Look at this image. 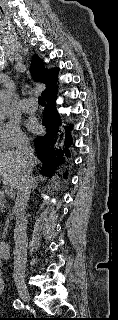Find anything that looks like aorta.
<instances>
[{"instance_id":"aorta-1","label":"aorta","mask_w":118,"mask_h":320,"mask_svg":"<svg viewBox=\"0 0 118 320\" xmlns=\"http://www.w3.org/2000/svg\"><path fill=\"white\" fill-rule=\"evenodd\" d=\"M10 93L8 90L0 91V118H4L10 106Z\"/></svg>"}]
</instances>
